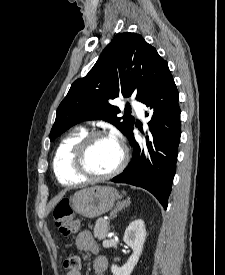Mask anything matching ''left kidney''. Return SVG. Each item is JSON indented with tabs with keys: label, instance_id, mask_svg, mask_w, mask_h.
<instances>
[{
	"label": "left kidney",
	"instance_id": "1",
	"mask_svg": "<svg viewBox=\"0 0 225 275\" xmlns=\"http://www.w3.org/2000/svg\"><path fill=\"white\" fill-rule=\"evenodd\" d=\"M145 238L146 230L143 220H135L127 227L123 240L132 248L133 253L122 267H118L117 265L111 266L113 275H131L142 254Z\"/></svg>",
	"mask_w": 225,
	"mask_h": 275
}]
</instances>
